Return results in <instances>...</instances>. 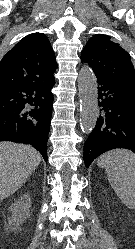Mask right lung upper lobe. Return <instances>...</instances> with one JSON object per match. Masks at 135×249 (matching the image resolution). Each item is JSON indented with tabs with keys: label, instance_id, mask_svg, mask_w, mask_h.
Instances as JSON below:
<instances>
[{
	"label": "right lung upper lobe",
	"instance_id": "1",
	"mask_svg": "<svg viewBox=\"0 0 135 249\" xmlns=\"http://www.w3.org/2000/svg\"><path fill=\"white\" fill-rule=\"evenodd\" d=\"M56 68L49 39L43 33L29 34L2 58L0 88L49 81Z\"/></svg>",
	"mask_w": 135,
	"mask_h": 249
}]
</instances>
